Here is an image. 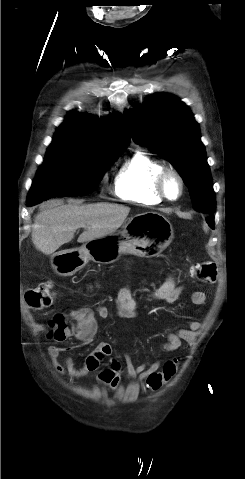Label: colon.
Masks as SVG:
<instances>
[{
	"mask_svg": "<svg viewBox=\"0 0 245 479\" xmlns=\"http://www.w3.org/2000/svg\"><path fill=\"white\" fill-rule=\"evenodd\" d=\"M196 275L204 282H214L217 276V267L213 262H202L195 266ZM55 298L51 282H44L30 288L25 293V302L32 309H40L48 306ZM77 318L72 313H60L51 320L52 338L64 341L73 334V323ZM78 322V321H77ZM180 359L175 358L166 361L162 370L151 374L147 380V388L151 391L160 389L168 383L177 373Z\"/></svg>",
	"mask_w": 245,
	"mask_h": 479,
	"instance_id": "colon-1",
	"label": "colon"
}]
</instances>
